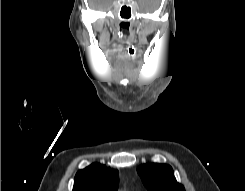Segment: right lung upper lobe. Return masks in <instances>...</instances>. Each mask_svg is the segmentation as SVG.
I'll use <instances>...</instances> for the list:
<instances>
[{
    "instance_id": "obj_1",
    "label": "right lung upper lobe",
    "mask_w": 245,
    "mask_h": 191,
    "mask_svg": "<svg viewBox=\"0 0 245 191\" xmlns=\"http://www.w3.org/2000/svg\"><path fill=\"white\" fill-rule=\"evenodd\" d=\"M118 171L99 163H93L77 172L72 191H116Z\"/></svg>"
}]
</instances>
